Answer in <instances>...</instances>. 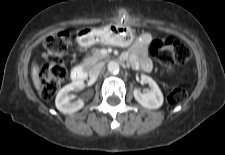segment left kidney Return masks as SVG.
I'll return each mask as SVG.
<instances>
[{"label": "left kidney", "instance_id": "left-kidney-1", "mask_svg": "<svg viewBox=\"0 0 225 155\" xmlns=\"http://www.w3.org/2000/svg\"><path fill=\"white\" fill-rule=\"evenodd\" d=\"M141 80L148 83L151 90L147 93H141L139 89H134L133 95L136 101L148 109H158L163 104V94L157 83L149 76L142 75Z\"/></svg>", "mask_w": 225, "mask_h": 155}]
</instances>
